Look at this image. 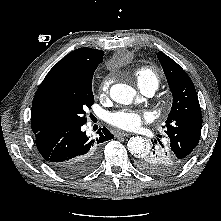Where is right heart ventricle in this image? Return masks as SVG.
Instances as JSON below:
<instances>
[{"mask_svg":"<svg viewBox=\"0 0 221 221\" xmlns=\"http://www.w3.org/2000/svg\"><path fill=\"white\" fill-rule=\"evenodd\" d=\"M134 76L136 78L139 87L153 86L156 89L159 86L160 78L157 71L148 66L138 67L134 71Z\"/></svg>","mask_w":221,"mask_h":221,"instance_id":"right-heart-ventricle-1","label":"right heart ventricle"}]
</instances>
